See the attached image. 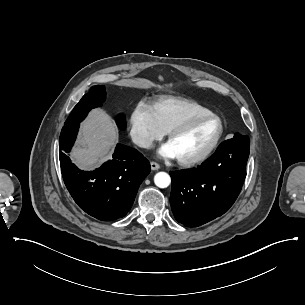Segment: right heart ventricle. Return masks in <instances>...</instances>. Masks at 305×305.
Listing matches in <instances>:
<instances>
[{
  "label": "right heart ventricle",
  "mask_w": 305,
  "mask_h": 305,
  "mask_svg": "<svg viewBox=\"0 0 305 305\" xmlns=\"http://www.w3.org/2000/svg\"><path fill=\"white\" fill-rule=\"evenodd\" d=\"M153 107L159 124L165 132H169L187 118L210 112L207 107L193 100L175 96L166 97Z\"/></svg>",
  "instance_id": "right-heart-ventricle-1"
}]
</instances>
